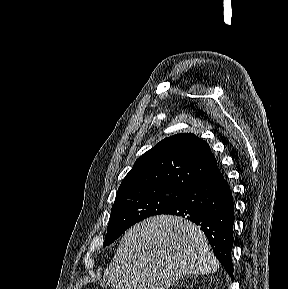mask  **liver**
<instances>
[{
  "label": "liver",
  "mask_w": 288,
  "mask_h": 289,
  "mask_svg": "<svg viewBox=\"0 0 288 289\" xmlns=\"http://www.w3.org/2000/svg\"><path fill=\"white\" fill-rule=\"evenodd\" d=\"M219 267L205 234L177 216L158 215L131 227L104 272L113 289H169L187 275Z\"/></svg>",
  "instance_id": "6515ba94"
}]
</instances>
